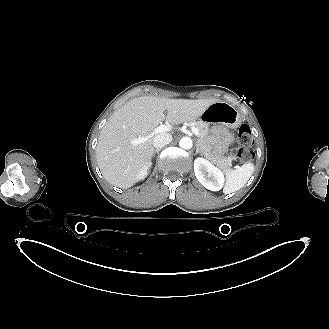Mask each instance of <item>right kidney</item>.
I'll use <instances>...</instances> for the list:
<instances>
[{
  "instance_id": "1",
  "label": "right kidney",
  "mask_w": 329,
  "mask_h": 329,
  "mask_svg": "<svg viewBox=\"0 0 329 329\" xmlns=\"http://www.w3.org/2000/svg\"><path fill=\"white\" fill-rule=\"evenodd\" d=\"M150 166H151V163H148L141 171H140V173H139V180H142V179H144L146 176H147V174H148V170H149V168H150Z\"/></svg>"
}]
</instances>
